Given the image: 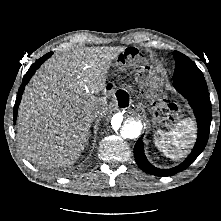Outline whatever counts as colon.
<instances>
[{
    "mask_svg": "<svg viewBox=\"0 0 221 221\" xmlns=\"http://www.w3.org/2000/svg\"><path fill=\"white\" fill-rule=\"evenodd\" d=\"M136 56H137V52L136 51H134L132 53L130 51H128L127 54H126L127 62L131 63L132 60H134L136 58Z\"/></svg>",
    "mask_w": 221,
    "mask_h": 221,
    "instance_id": "colon-1",
    "label": "colon"
}]
</instances>
